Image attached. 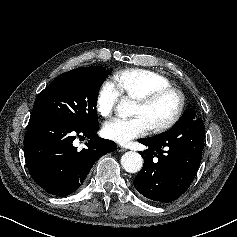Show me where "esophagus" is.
Instances as JSON below:
<instances>
[{
	"label": "esophagus",
	"mask_w": 237,
	"mask_h": 237,
	"mask_svg": "<svg viewBox=\"0 0 237 237\" xmlns=\"http://www.w3.org/2000/svg\"><path fill=\"white\" fill-rule=\"evenodd\" d=\"M127 149L122 147L121 145H117V151L118 152H125Z\"/></svg>",
	"instance_id": "34e87169"
}]
</instances>
